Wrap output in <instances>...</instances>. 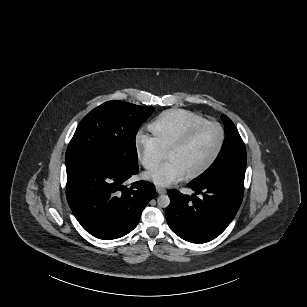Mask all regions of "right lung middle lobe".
Instances as JSON below:
<instances>
[{"label":"right lung middle lobe","instance_id":"dd1d6c3e","mask_svg":"<svg viewBox=\"0 0 307 307\" xmlns=\"http://www.w3.org/2000/svg\"><path fill=\"white\" fill-rule=\"evenodd\" d=\"M152 106L108 101L79 123L66 152V167L83 162H104L138 170L135 137L153 113Z\"/></svg>","mask_w":307,"mask_h":307}]
</instances>
